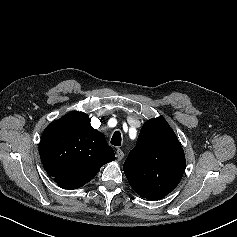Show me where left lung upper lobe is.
Masks as SVG:
<instances>
[{"label": "left lung upper lobe", "mask_w": 237, "mask_h": 237, "mask_svg": "<svg viewBox=\"0 0 237 237\" xmlns=\"http://www.w3.org/2000/svg\"><path fill=\"white\" fill-rule=\"evenodd\" d=\"M185 155L174 131L162 117L147 121L123 170L141 197L159 200L179 184L185 171Z\"/></svg>", "instance_id": "obj_1"}]
</instances>
